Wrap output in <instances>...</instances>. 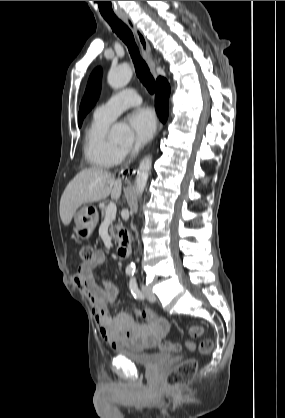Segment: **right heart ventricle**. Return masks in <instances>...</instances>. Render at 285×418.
Masks as SVG:
<instances>
[{
    "mask_svg": "<svg viewBox=\"0 0 285 418\" xmlns=\"http://www.w3.org/2000/svg\"><path fill=\"white\" fill-rule=\"evenodd\" d=\"M110 124V121L98 119L94 116L86 132L84 154L93 168H109L121 160L119 147L108 138Z\"/></svg>",
    "mask_w": 285,
    "mask_h": 418,
    "instance_id": "e07e8e85",
    "label": "right heart ventricle"
}]
</instances>
